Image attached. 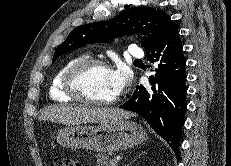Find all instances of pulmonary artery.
I'll use <instances>...</instances> for the list:
<instances>
[{"instance_id":"1","label":"pulmonary artery","mask_w":231,"mask_h":166,"mask_svg":"<svg viewBox=\"0 0 231 166\" xmlns=\"http://www.w3.org/2000/svg\"><path fill=\"white\" fill-rule=\"evenodd\" d=\"M128 55L133 58H142L144 53L141 49H139L136 45L131 44L127 49Z\"/></svg>"}]
</instances>
